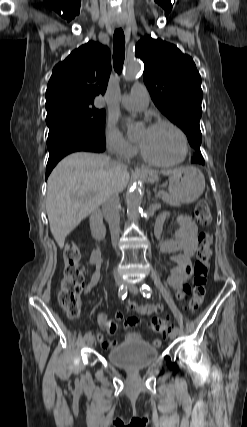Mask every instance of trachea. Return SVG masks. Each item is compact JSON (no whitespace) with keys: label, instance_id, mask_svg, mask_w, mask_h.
I'll return each instance as SVG.
<instances>
[{"label":"trachea","instance_id":"obj_1","mask_svg":"<svg viewBox=\"0 0 247 427\" xmlns=\"http://www.w3.org/2000/svg\"><path fill=\"white\" fill-rule=\"evenodd\" d=\"M125 57V36L121 28L114 32L113 65L117 73L122 71Z\"/></svg>","mask_w":247,"mask_h":427}]
</instances>
